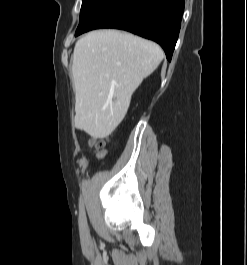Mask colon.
I'll use <instances>...</instances> for the list:
<instances>
[{
    "mask_svg": "<svg viewBox=\"0 0 247 265\" xmlns=\"http://www.w3.org/2000/svg\"><path fill=\"white\" fill-rule=\"evenodd\" d=\"M91 145L96 149L97 155L102 157L105 154V142L102 140H91Z\"/></svg>",
    "mask_w": 247,
    "mask_h": 265,
    "instance_id": "obj_1",
    "label": "colon"
}]
</instances>
